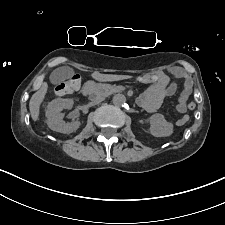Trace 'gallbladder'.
Returning a JSON list of instances; mask_svg holds the SVG:
<instances>
[{
	"label": "gallbladder",
	"instance_id": "1",
	"mask_svg": "<svg viewBox=\"0 0 225 225\" xmlns=\"http://www.w3.org/2000/svg\"><path fill=\"white\" fill-rule=\"evenodd\" d=\"M73 75V69L70 67H60L55 69L50 75V82L52 84H59L62 81L69 79Z\"/></svg>",
	"mask_w": 225,
	"mask_h": 225
}]
</instances>
